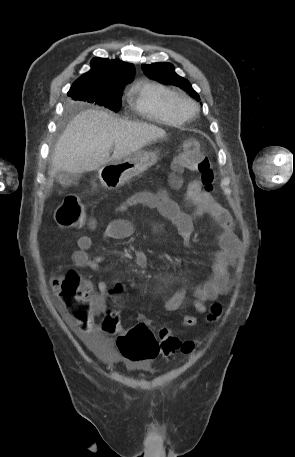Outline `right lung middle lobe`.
I'll return each instance as SVG.
<instances>
[{
    "instance_id": "right-lung-middle-lobe-1",
    "label": "right lung middle lobe",
    "mask_w": 295,
    "mask_h": 457,
    "mask_svg": "<svg viewBox=\"0 0 295 457\" xmlns=\"http://www.w3.org/2000/svg\"><path fill=\"white\" fill-rule=\"evenodd\" d=\"M124 87L110 90H93L84 86L73 87L68 96L75 100L95 103L118 112Z\"/></svg>"
}]
</instances>
